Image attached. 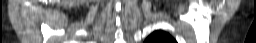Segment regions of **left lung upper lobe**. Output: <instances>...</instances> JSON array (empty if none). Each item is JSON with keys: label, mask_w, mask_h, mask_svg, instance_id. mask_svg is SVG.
Returning a JSON list of instances; mask_svg holds the SVG:
<instances>
[{"label": "left lung upper lobe", "mask_w": 256, "mask_h": 43, "mask_svg": "<svg viewBox=\"0 0 256 43\" xmlns=\"http://www.w3.org/2000/svg\"><path fill=\"white\" fill-rule=\"evenodd\" d=\"M144 43H176L168 33L158 30L149 35Z\"/></svg>", "instance_id": "5c2ea615"}]
</instances>
